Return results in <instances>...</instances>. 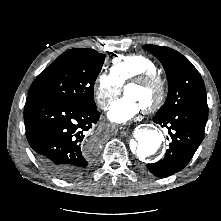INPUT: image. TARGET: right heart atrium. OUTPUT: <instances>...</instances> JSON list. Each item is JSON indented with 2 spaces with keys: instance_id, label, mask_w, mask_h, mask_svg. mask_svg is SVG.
Returning a JSON list of instances; mask_svg holds the SVG:
<instances>
[{
  "instance_id": "1",
  "label": "right heart atrium",
  "mask_w": 221,
  "mask_h": 221,
  "mask_svg": "<svg viewBox=\"0 0 221 221\" xmlns=\"http://www.w3.org/2000/svg\"><path fill=\"white\" fill-rule=\"evenodd\" d=\"M121 85L107 72H100L95 80L93 94L97 106L107 109L111 101L121 92Z\"/></svg>"
}]
</instances>
